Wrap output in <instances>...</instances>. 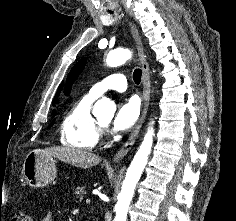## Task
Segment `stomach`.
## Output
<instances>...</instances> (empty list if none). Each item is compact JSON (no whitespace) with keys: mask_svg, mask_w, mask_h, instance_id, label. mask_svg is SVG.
<instances>
[{"mask_svg":"<svg viewBox=\"0 0 236 221\" xmlns=\"http://www.w3.org/2000/svg\"><path fill=\"white\" fill-rule=\"evenodd\" d=\"M56 161L43 150H33L27 154L22 168V175L32 187H44L56 178Z\"/></svg>","mask_w":236,"mask_h":221,"instance_id":"stomach-1","label":"stomach"}]
</instances>
